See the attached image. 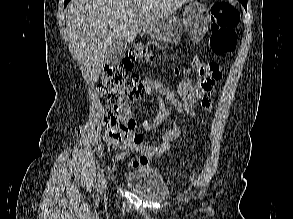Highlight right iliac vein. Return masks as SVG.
Wrapping results in <instances>:
<instances>
[{
	"label": "right iliac vein",
	"mask_w": 293,
	"mask_h": 219,
	"mask_svg": "<svg viewBox=\"0 0 293 219\" xmlns=\"http://www.w3.org/2000/svg\"><path fill=\"white\" fill-rule=\"evenodd\" d=\"M106 186H107V180L103 179L101 193L106 189Z\"/></svg>",
	"instance_id": "obj_1"
}]
</instances>
